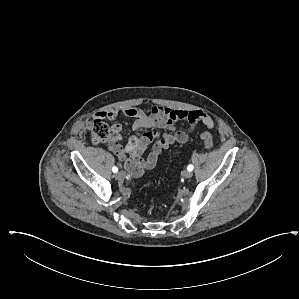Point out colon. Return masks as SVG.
Instances as JSON below:
<instances>
[{
    "label": "colon",
    "instance_id": "1",
    "mask_svg": "<svg viewBox=\"0 0 299 299\" xmlns=\"http://www.w3.org/2000/svg\"><path fill=\"white\" fill-rule=\"evenodd\" d=\"M88 129L92 141L96 144H105L112 140V129L107 122L101 118H96L88 124ZM205 148L211 149L213 147V137L209 132H202L199 135Z\"/></svg>",
    "mask_w": 299,
    "mask_h": 299
}]
</instances>
